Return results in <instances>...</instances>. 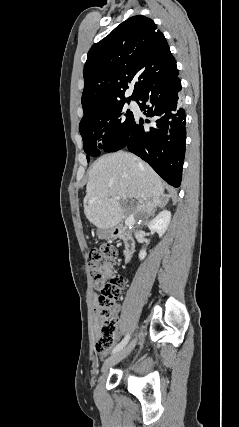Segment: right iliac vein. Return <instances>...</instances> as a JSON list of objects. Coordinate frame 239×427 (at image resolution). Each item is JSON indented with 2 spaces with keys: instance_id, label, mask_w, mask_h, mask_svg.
Returning a JSON list of instances; mask_svg holds the SVG:
<instances>
[{
  "instance_id": "right-iliac-vein-1",
  "label": "right iliac vein",
  "mask_w": 239,
  "mask_h": 427,
  "mask_svg": "<svg viewBox=\"0 0 239 427\" xmlns=\"http://www.w3.org/2000/svg\"><path fill=\"white\" fill-rule=\"evenodd\" d=\"M136 345V339H133L126 347L122 348L119 352L109 357L102 366V372L107 371L111 366L117 364L126 358Z\"/></svg>"
}]
</instances>
